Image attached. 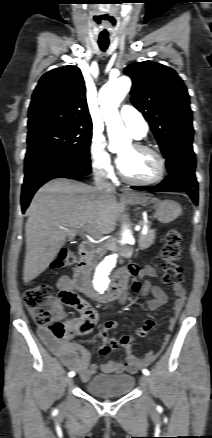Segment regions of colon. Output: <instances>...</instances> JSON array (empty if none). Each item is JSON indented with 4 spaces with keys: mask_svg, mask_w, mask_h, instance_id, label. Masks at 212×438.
<instances>
[{
    "mask_svg": "<svg viewBox=\"0 0 212 438\" xmlns=\"http://www.w3.org/2000/svg\"><path fill=\"white\" fill-rule=\"evenodd\" d=\"M181 242V234L177 228H171L167 231L161 251L163 281L167 285L175 286L183 282V270L179 264L182 254ZM75 260L73 252L63 249L55 257L51 267L62 269L72 265ZM61 300L66 305H72L78 301V296L73 291H69L61 296ZM24 302L36 325L47 328L58 339L67 336L64 324L55 319L56 301L48 286L35 285L30 287L24 293ZM85 330L82 327L76 331L85 333Z\"/></svg>",
    "mask_w": 212,
    "mask_h": 438,
    "instance_id": "obj_1",
    "label": "colon"
}]
</instances>
